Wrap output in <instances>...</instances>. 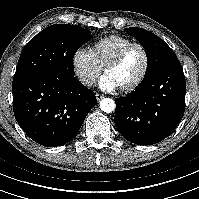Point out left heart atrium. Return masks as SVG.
<instances>
[{"instance_id": "obj_1", "label": "left heart atrium", "mask_w": 199, "mask_h": 199, "mask_svg": "<svg viewBox=\"0 0 199 199\" xmlns=\"http://www.w3.org/2000/svg\"><path fill=\"white\" fill-rule=\"evenodd\" d=\"M99 85L102 90L109 92L117 89V86L113 83V81L105 75L101 78Z\"/></svg>"}]
</instances>
